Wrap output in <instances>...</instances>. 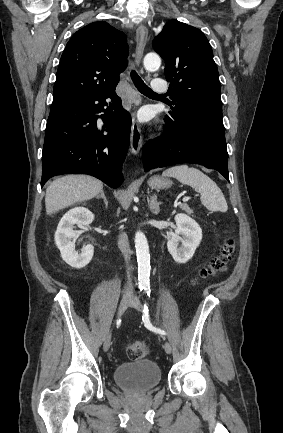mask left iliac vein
Returning a JSON list of instances; mask_svg holds the SVG:
<instances>
[{"mask_svg":"<svg viewBox=\"0 0 283 433\" xmlns=\"http://www.w3.org/2000/svg\"><path fill=\"white\" fill-rule=\"evenodd\" d=\"M130 306L137 309L138 311H142V309H143V306H142L140 300L136 297L131 298ZM164 349H165L167 354H171L172 346L169 342H165Z\"/></svg>","mask_w":283,"mask_h":433,"instance_id":"obj_1","label":"left iliac vein"}]
</instances>
